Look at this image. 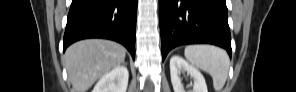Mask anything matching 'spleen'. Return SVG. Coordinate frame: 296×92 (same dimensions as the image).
Returning a JSON list of instances; mask_svg holds the SVG:
<instances>
[{
    "instance_id": "obj_1",
    "label": "spleen",
    "mask_w": 296,
    "mask_h": 92,
    "mask_svg": "<svg viewBox=\"0 0 296 92\" xmlns=\"http://www.w3.org/2000/svg\"><path fill=\"white\" fill-rule=\"evenodd\" d=\"M184 55L193 66L211 75L214 89L220 92L228 77L230 61L227 53L212 45H189Z\"/></svg>"
}]
</instances>
